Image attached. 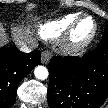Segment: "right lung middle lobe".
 Masks as SVG:
<instances>
[{
  "instance_id": "obj_1",
  "label": "right lung middle lobe",
  "mask_w": 108,
  "mask_h": 108,
  "mask_svg": "<svg viewBox=\"0 0 108 108\" xmlns=\"http://www.w3.org/2000/svg\"><path fill=\"white\" fill-rule=\"evenodd\" d=\"M4 5L3 3H0V6Z\"/></svg>"
}]
</instances>
